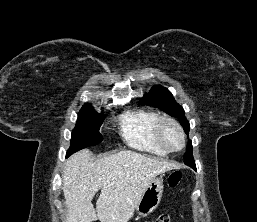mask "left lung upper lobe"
<instances>
[{"mask_svg":"<svg viewBox=\"0 0 257 222\" xmlns=\"http://www.w3.org/2000/svg\"><path fill=\"white\" fill-rule=\"evenodd\" d=\"M141 103L148 106H155L170 116L177 117L180 124L183 126L186 134L189 133V121L185 118V112L173 98L169 90L163 86L155 85L151 90L141 98ZM184 163L192 168L195 167V162L192 154V143L189 140L187 151L184 154Z\"/></svg>","mask_w":257,"mask_h":222,"instance_id":"1","label":"left lung upper lobe"}]
</instances>
